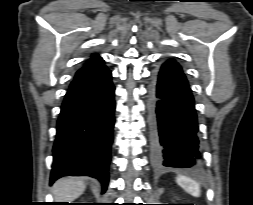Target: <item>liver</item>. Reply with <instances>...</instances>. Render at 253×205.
I'll use <instances>...</instances> for the list:
<instances>
[{
    "label": "liver",
    "instance_id": "6515ba94",
    "mask_svg": "<svg viewBox=\"0 0 253 205\" xmlns=\"http://www.w3.org/2000/svg\"><path fill=\"white\" fill-rule=\"evenodd\" d=\"M85 182L78 177H64L55 182L52 193L56 202H71L85 191Z\"/></svg>",
    "mask_w": 253,
    "mask_h": 205
}]
</instances>
